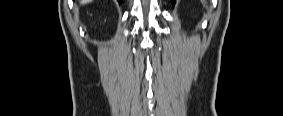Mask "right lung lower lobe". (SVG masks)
Masks as SVG:
<instances>
[{"mask_svg":"<svg viewBox=\"0 0 283 116\" xmlns=\"http://www.w3.org/2000/svg\"><path fill=\"white\" fill-rule=\"evenodd\" d=\"M118 2H119V3H121V2H122V0H118Z\"/></svg>","mask_w":283,"mask_h":116,"instance_id":"obj_1","label":"right lung lower lobe"}]
</instances>
